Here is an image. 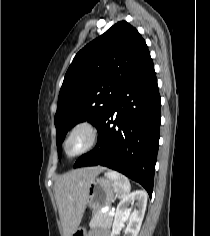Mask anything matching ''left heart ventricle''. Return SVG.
Returning a JSON list of instances; mask_svg holds the SVG:
<instances>
[{
    "label": "left heart ventricle",
    "mask_w": 210,
    "mask_h": 236,
    "mask_svg": "<svg viewBox=\"0 0 210 236\" xmlns=\"http://www.w3.org/2000/svg\"><path fill=\"white\" fill-rule=\"evenodd\" d=\"M86 142V134L84 132H77L69 143V150L71 152L81 148Z\"/></svg>",
    "instance_id": "b2bd125f"
}]
</instances>
